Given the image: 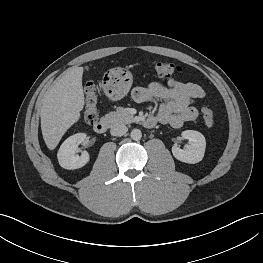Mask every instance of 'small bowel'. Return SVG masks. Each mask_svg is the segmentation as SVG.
<instances>
[{
	"label": "small bowel",
	"instance_id": "obj_1",
	"mask_svg": "<svg viewBox=\"0 0 263 263\" xmlns=\"http://www.w3.org/2000/svg\"><path fill=\"white\" fill-rule=\"evenodd\" d=\"M204 97L205 91L199 85L175 79L167 80L165 85L152 82L132 91V98L137 103L158 101V110L151 117L173 128H180L186 122L195 120L198 110L193 104Z\"/></svg>",
	"mask_w": 263,
	"mask_h": 263
}]
</instances>
